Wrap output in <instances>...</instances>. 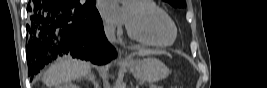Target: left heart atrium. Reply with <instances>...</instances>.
<instances>
[{"label": "left heart atrium", "instance_id": "obj_1", "mask_svg": "<svg viewBox=\"0 0 267 88\" xmlns=\"http://www.w3.org/2000/svg\"><path fill=\"white\" fill-rule=\"evenodd\" d=\"M100 11L102 15L111 22L128 23L127 10L120 8L114 1H103L100 4Z\"/></svg>", "mask_w": 267, "mask_h": 88}]
</instances>
